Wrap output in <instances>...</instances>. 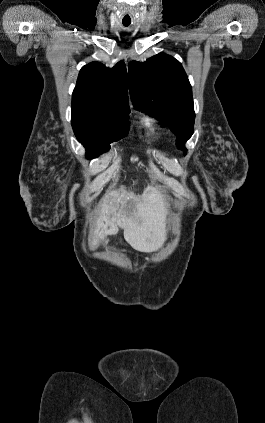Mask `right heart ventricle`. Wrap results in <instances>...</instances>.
I'll list each match as a JSON object with an SVG mask.
<instances>
[{"instance_id": "1", "label": "right heart ventricle", "mask_w": 265, "mask_h": 423, "mask_svg": "<svg viewBox=\"0 0 265 423\" xmlns=\"http://www.w3.org/2000/svg\"><path fill=\"white\" fill-rule=\"evenodd\" d=\"M143 123L148 127L152 126V120L150 118H144Z\"/></svg>"}]
</instances>
